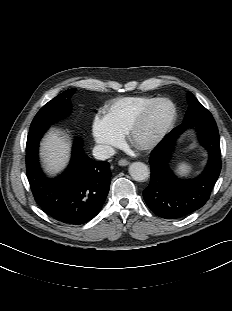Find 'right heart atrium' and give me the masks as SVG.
Segmentation results:
<instances>
[{"mask_svg":"<svg viewBox=\"0 0 232 311\" xmlns=\"http://www.w3.org/2000/svg\"><path fill=\"white\" fill-rule=\"evenodd\" d=\"M92 136L97 145L107 154L112 153L122 143V137L108 125L104 117L94 118Z\"/></svg>","mask_w":232,"mask_h":311,"instance_id":"d8ad5b80","label":"right heart atrium"}]
</instances>
